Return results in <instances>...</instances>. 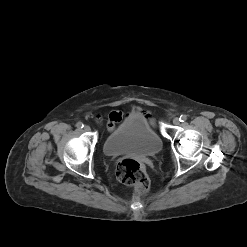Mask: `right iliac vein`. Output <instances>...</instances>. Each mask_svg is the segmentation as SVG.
I'll return each mask as SVG.
<instances>
[{
  "instance_id": "right-iliac-vein-1",
  "label": "right iliac vein",
  "mask_w": 247,
  "mask_h": 247,
  "mask_svg": "<svg viewBox=\"0 0 247 247\" xmlns=\"http://www.w3.org/2000/svg\"><path fill=\"white\" fill-rule=\"evenodd\" d=\"M90 130L91 128L88 125L84 126V131L89 132Z\"/></svg>"
}]
</instances>
